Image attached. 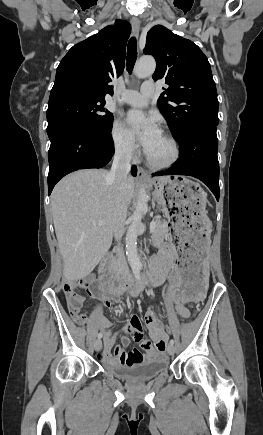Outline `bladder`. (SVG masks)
<instances>
[{
	"label": "bladder",
	"instance_id": "31cf9c89",
	"mask_svg": "<svg viewBox=\"0 0 263 435\" xmlns=\"http://www.w3.org/2000/svg\"><path fill=\"white\" fill-rule=\"evenodd\" d=\"M168 360L157 356L136 364L105 363V369L112 375L127 381H147L167 369Z\"/></svg>",
	"mask_w": 263,
	"mask_h": 435
}]
</instances>
